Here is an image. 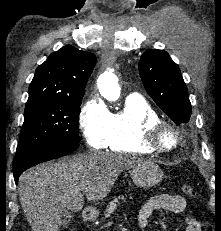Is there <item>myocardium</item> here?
<instances>
[{"label":"myocardium","mask_w":221,"mask_h":231,"mask_svg":"<svg viewBox=\"0 0 221 231\" xmlns=\"http://www.w3.org/2000/svg\"><path fill=\"white\" fill-rule=\"evenodd\" d=\"M165 133L172 134L173 140L165 144L163 136ZM180 142L179 131L170 122L162 119L150 120L144 124L143 143L153 152L168 153L173 151Z\"/></svg>","instance_id":"1"}]
</instances>
